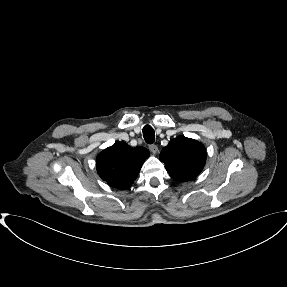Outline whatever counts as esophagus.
Here are the masks:
<instances>
[{"mask_svg":"<svg viewBox=\"0 0 287 287\" xmlns=\"http://www.w3.org/2000/svg\"><path fill=\"white\" fill-rule=\"evenodd\" d=\"M149 149L153 154H156L158 152V146L155 144L150 145Z\"/></svg>","mask_w":287,"mask_h":287,"instance_id":"1","label":"esophagus"}]
</instances>
